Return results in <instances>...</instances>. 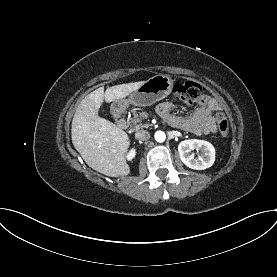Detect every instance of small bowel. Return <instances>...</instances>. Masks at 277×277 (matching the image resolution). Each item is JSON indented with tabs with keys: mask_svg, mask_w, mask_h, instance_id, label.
I'll use <instances>...</instances> for the list:
<instances>
[{
	"mask_svg": "<svg viewBox=\"0 0 277 277\" xmlns=\"http://www.w3.org/2000/svg\"><path fill=\"white\" fill-rule=\"evenodd\" d=\"M221 109L220 103L212 97L204 96L200 106L189 117L176 114L175 106L170 102L158 105L157 111L171 126L201 135L217 131L216 113Z\"/></svg>",
	"mask_w": 277,
	"mask_h": 277,
	"instance_id": "small-bowel-1",
	"label": "small bowel"
}]
</instances>
